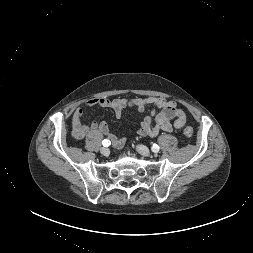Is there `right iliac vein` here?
I'll return each instance as SVG.
<instances>
[{
  "label": "right iliac vein",
  "mask_w": 253,
  "mask_h": 253,
  "mask_svg": "<svg viewBox=\"0 0 253 253\" xmlns=\"http://www.w3.org/2000/svg\"><path fill=\"white\" fill-rule=\"evenodd\" d=\"M100 152H101V154L104 155V156H108V155L110 154V150H109L107 147H102V148L100 149Z\"/></svg>",
  "instance_id": "63e3f726"
}]
</instances>
